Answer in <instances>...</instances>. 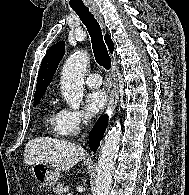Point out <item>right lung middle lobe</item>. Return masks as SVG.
Here are the masks:
<instances>
[{
    "label": "right lung middle lobe",
    "instance_id": "1",
    "mask_svg": "<svg viewBox=\"0 0 189 195\" xmlns=\"http://www.w3.org/2000/svg\"><path fill=\"white\" fill-rule=\"evenodd\" d=\"M39 100H35L34 101V106H36L38 104Z\"/></svg>",
    "mask_w": 189,
    "mask_h": 195
}]
</instances>
